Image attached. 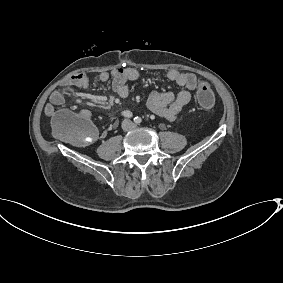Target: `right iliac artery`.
Returning <instances> with one entry per match:
<instances>
[{"instance_id": "obj_1", "label": "right iliac artery", "mask_w": 283, "mask_h": 283, "mask_svg": "<svg viewBox=\"0 0 283 283\" xmlns=\"http://www.w3.org/2000/svg\"><path fill=\"white\" fill-rule=\"evenodd\" d=\"M121 114H122V116L127 117V118H131L133 116L132 112H130L128 110L123 111Z\"/></svg>"}]
</instances>
